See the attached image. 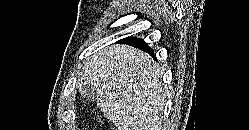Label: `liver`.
<instances>
[{
	"mask_svg": "<svg viewBox=\"0 0 249 130\" xmlns=\"http://www.w3.org/2000/svg\"><path fill=\"white\" fill-rule=\"evenodd\" d=\"M161 76L148 54L113 45L85 64L78 86H93L97 106L118 130H160L165 100Z\"/></svg>",
	"mask_w": 249,
	"mask_h": 130,
	"instance_id": "obj_1",
	"label": "liver"
}]
</instances>
